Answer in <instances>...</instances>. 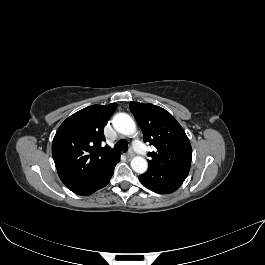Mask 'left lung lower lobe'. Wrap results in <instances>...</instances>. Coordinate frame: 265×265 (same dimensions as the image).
I'll return each mask as SVG.
<instances>
[{
    "label": "left lung lower lobe",
    "mask_w": 265,
    "mask_h": 265,
    "mask_svg": "<svg viewBox=\"0 0 265 265\" xmlns=\"http://www.w3.org/2000/svg\"><path fill=\"white\" fill-rule=\"evenodd\" d=\"M189 171H162L151 170L139 176L140 182L160 194H169L176 191L184 182Z\"/></svg>",
    "instance_id": "0a47b994"
}]
</instances>
